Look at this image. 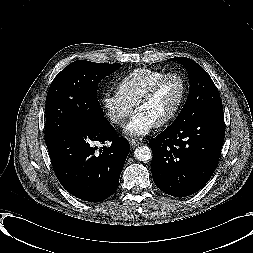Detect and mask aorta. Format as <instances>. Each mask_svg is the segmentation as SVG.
I'll return each instance as SVG.
<instances>
[{
	"instance_id": "762f6f07",
	"label": "aorta",
	"mask_w": 253,
	"mask_h": 253,
	"mask_svg": "<svg viewBox=\"0 0 253 253\" xmlns=\"http://www.w3.org/2000/svg\"><path fill=\"white\" fill-rule=\"evenodd\" d=\"M134 156L139 161L146 162L152 158V150L148 146L141 145L135 149Z\"/></svg>"
}]
</instances>
